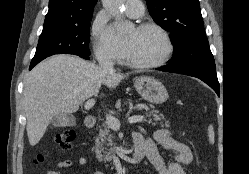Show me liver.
Returning a JSON list of instances; mask_svg holds the SVG:
<instances>
[{
    "label": "liver",
    "instance_id": "liver-1",
    "mask_svg": "<svg viewBox=\"0 0 249 174\" xmlns=\"http://www.w3.org/2000/svg\"><path fill=\"white\" fill-rule=\"evenodd\" d=\"M123 78L120 73L104 72L94 63L66 54L39 63L24 83L30 145L41 140L54 116L75 113L85 100L98 94L102 85L115 88Z\"/></svg>",
    "mask_w": 249,
    "mask_h": 174
}]
</instances>
